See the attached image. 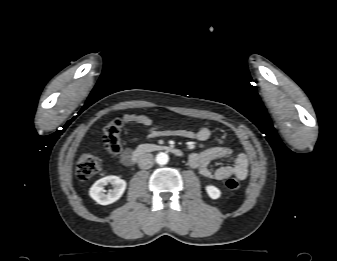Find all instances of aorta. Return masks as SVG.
Returning <instances> with one entry per match:
<instances>
[{"mask_svg": "<svg viewBox=\"0 0 337 261\" xmlns=\"http://www.w3.org/2000/svg\"><path fill=\"white\" fill-rule=\"evenodd\" d=\"M169 161V157L165 152H160L156 155V162L159 165H165Z\"/></svg>", "mask_w": 337, "mask_h": 261, "instance_id": "obj_1", "label": "aorta"}]
</instances>
